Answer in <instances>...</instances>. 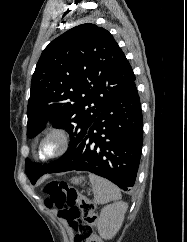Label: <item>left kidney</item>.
Instances as JSON below:
<instances>
[{"mask_svg":"<svg viewBox=\"0 0 187 242\" xmlns=\"http://www.w3.org/2000/svg\"><path fill=\"white\" fill-rule=\"evenodd\" d=\"M127 203L118 202L105 206L98 221V233L103 239H112L122 226Z\"/></svg>","mask_w":187,"mask_h":242,"instance_id":"5707ae66","label":"left kidney"}]
</instances>
